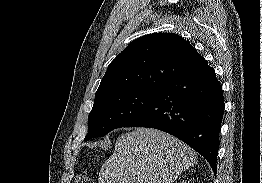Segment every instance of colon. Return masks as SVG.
Wrapping results in <instances>:
<instances>
[{
    "instance_id": "1",
    "label": "colon",
    "mask_w": 262,
    "mask_h": 183,
    "mask_svg": "<svg viewBox=\"0 0 262 183\" xmlns=\"http://www.w3.org/2000/svg\"><path fill=\"white\" fill-rule=\"evenodd\" d=\"M75 183H91V179L87 175H79Z\"/></svg>"
}]
</instances>
